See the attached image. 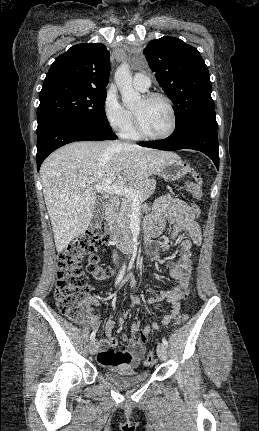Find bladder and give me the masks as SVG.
I'll return each instance as SVG.
<instances>
[{"label":"bladder","instance_id":"bladder-1","mask_svg":"<svg viewBox=\"0 0 259 431\" xmlns=\"http://www.w3.org/2000/svg\"><path fill=\"white\" fill-rule=\"evenodd\" d=\"M103 375L114 384L127 387L147 380L151 374L131 367H110L103 370Z\"/></svg>","mask_w":259,"mask_h":431}]
</instances>
